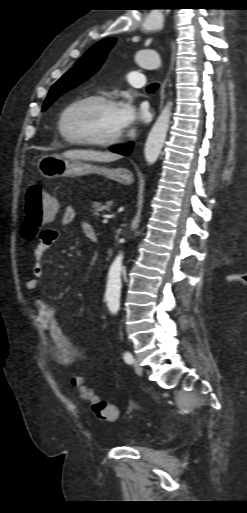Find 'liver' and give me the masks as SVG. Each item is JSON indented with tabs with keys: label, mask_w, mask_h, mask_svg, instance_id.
Here are the masks:
<instances>
[{
	"label": "liver",
	"mask_w": 247,
	"mask_h": 513,
	"mask_svg": "<svg viewBox=\"0 0 247 513\" xmlns=\"http://www.w3.org/2000/svg\"><path fill=\"white\" fill-rule=\"evenodd\" d=\"M63 156L69 159H83L105 162L120 159V156L118 154L112 152H100L95 150H69L64 152Z\"/></svg>",
	"instance_id": "6515ba94"
}]
</instances>
